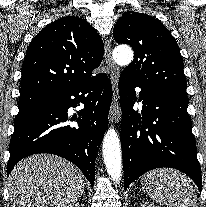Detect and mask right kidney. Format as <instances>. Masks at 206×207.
I'll return each mask as SVG.
<instances>
[{"label": "right kidney", "instance_id": "obj_1", "mask_svg": "<svg viewBox=\"0 0 206 207\" xmlns=\"http://www.w3.org/2000/svg\"><path fill=\"white\" fill-rule=\"evenodd\" d=\"M71 207H83V204L77 203V204L72 205Z\"/></svg>", "mask_w": 206, "mask_h": 207}]
</instances>
